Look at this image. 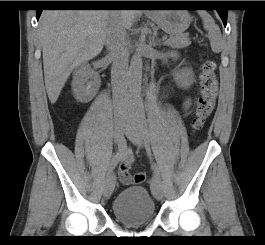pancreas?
<instances>
[{
	"label": "pancreas",
	"instance_id": "pancreas-1",
	"mask_svg": "<svg viewBox=\"0 0 265 245\" xmlns=\"http://www.w3.org/2000/svg\"><path fill=\"white\" fill-rule=\"evenodd\" d=\"M169 39L170 42L165 45L170 46L171 48H184L191 44L190 39L186 35L172 36Z\"/></svg>",
	"mask_w": 265,
	"mask_h": 245
}]
</instances>
